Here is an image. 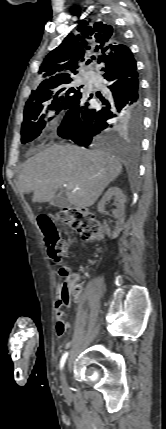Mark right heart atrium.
<instances>
[{
    "mask_svg": "<svg viewBox=\"0 0 166 429\" xmlns=\"http://www.w3.org/2000/svg\"><path fill=\"white\" fill-rule=\"evenodd\" d=\"M53 116H54V112H53V111H50V112L48 113V118H49V119H52V118H53Z\"/></svg>",
    "mask_w": 166,
    "mask_h": 429,
    "instance_id": "right-heart-atrium-1",
    "label": "right heart atrium"
}]
</instances>
